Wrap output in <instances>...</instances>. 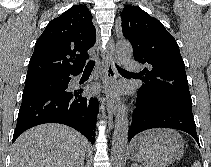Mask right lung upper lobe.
<instances>
[{
    "mask_svg": "<svg viewBox=\"0 0 211 167\" xmlns=\"http://www.w3.org/2000/svg\"><path fill=\"white\" fill-rule=\"evenodd\" d=\"M96 42L92 14L75 5L46 26L29 61L26 81L82 71L87 50Z\"/></svg>",
    "mask_w": 211,
    "mask_h": 167,
    "instance_id": "right-lung-upper-lobe-1",
    "label": "right lung upper lobe"
}]
</instances>
